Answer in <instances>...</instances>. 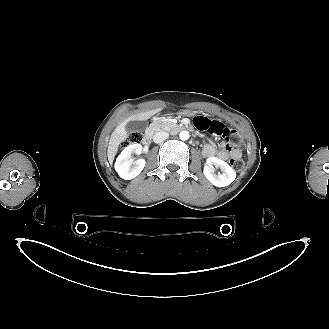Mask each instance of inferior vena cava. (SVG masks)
I'll use <instances>...</instances> for the list:
<instances>
[{"instance_id":"1","label":"inferior vena cava","mask_w":329,"mask_h":329,"mask_svg":"<svg viewBox=\"0 0 329 329\" xmlns=\"http://www.w3.org/2000/svg\"><path fill=\"white\" fill-rule=\"evenodd\" d=\"M168 137H169V134L167 132L160 131V132L155 133V135L153 137V141L155 143H162Z\"/></svg>"}]
</instances>
